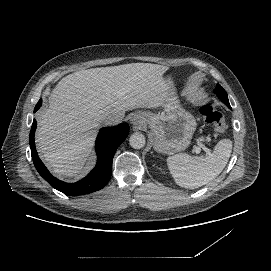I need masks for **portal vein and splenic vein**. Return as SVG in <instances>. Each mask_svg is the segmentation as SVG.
<instances>
[{"label": "portal vein and splenic vein", "mask_w": 271, "mask_h": 271, "mask_svg": "<svg viewBox=\"0 0 271 271\" xmlns=\"http://www.w3.org/2000/svg\"><path fill=\"white\" fill-rule=\"evenodd\" d=\"M201 148H202L207 154H210V150H209L207 147H205L203 144H200V145H194V146H193V151L196 152V153H200Z\"/></svg>", "instance_id": "1"}]
</instances>
